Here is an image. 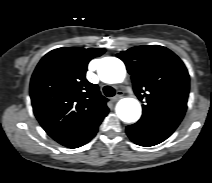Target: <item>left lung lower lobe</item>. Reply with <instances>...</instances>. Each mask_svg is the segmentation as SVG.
Masks as SVG:
<instances>
[{
	"label": "left lung lower lobe",
	"instance_id": "1",
	"mask_svg": "<svg viewBox=\"0 0 212 183\" xmlns=\"http://www.w3.org/2000/svg\"><path fill=\"white\" fill-rule=\"evenodd\" d=\"M174 130L152 123L138 121L127 126L126 133L129 138L140 146H154L167 139Z\"/></svg>",
	"mask_w": 212,
	"mask_h": 183
}]
</instances>
